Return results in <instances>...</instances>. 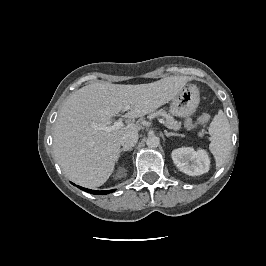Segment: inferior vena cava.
<instances>
[{"mask_svg": "<svg viewBox=\"0 0 266 266\" xmlns=\"http://www.w3.org/2000/svg\"><path fill=\"white\" fill-rule=\"evenodd\" d=\"M138 142V133L137 132H127L125 133L120 140L121 145L124 149H132Z\"/></svg>", "mask_w": 266, "mask_h": 266, "instance_id": "inferior-vena-cava-1", "label": "inferior vena cava"}]
</instances>
